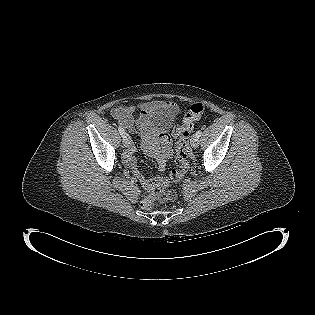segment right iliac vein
<instances>
[{"label":"right iliac vein","instance_id":"63e3f726","mask_svg":"<svg viewBox=\"0 0 315 315\" xmlns=\"http://www.w3.org/2000/svg\"><path fill=\"white\" fill-rule=\"evenodd\" d=\"M123 144L126 148H130L132 145V140L128 134L123 137Z\"/></svg>","mask_w":315,"mask_h":315}]
</instances>
